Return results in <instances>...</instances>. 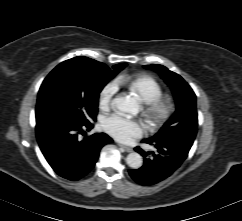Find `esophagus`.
Wrapping results in <instances>:
<instances>
[{
    "label": "esophagus",
    "mask_w": 242,
    "mask_h": 221,
    "mask_svg": "<svg viewBox=\"0 0 242 221\" xmlns=\"http://www.w3.org/2000/svg\"><path fill=\"white\" fill-rule=\"evenodd\" d=\"M119 147H121L122 149H124L125 152H128V153L133 151L132 148L125 146V145H122V144H119Z\"/></svg>",
    "instance_id": "esophagus-1"
}]
</instances>
